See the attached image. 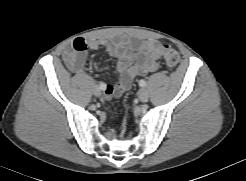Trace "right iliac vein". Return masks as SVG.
<instances>
[{
  "label": "right iliac vein",
  "mask_w": 246,
  "mask_h": 181,
  "mask_svg": "<svg viewBox=\"0 0 246 181\" xmlns=\"http://www.w3.org/2000/svg\"><path fill=\"white\" fill-rule=\"evenodd\" d=\"M94 95H95V96H100V95H101V89L98 88V87H96V88L94 89Z\"/></svg>",
  "instance_id": "63e3f726"
}]
</instances>
